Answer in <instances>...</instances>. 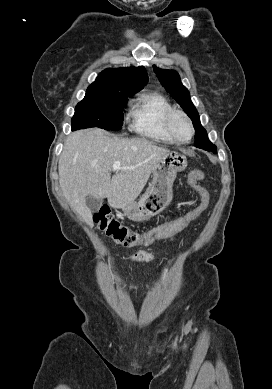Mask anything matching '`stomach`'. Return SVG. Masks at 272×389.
<instances>
[{"label":"stomach","instance_id":"obj_1","mask_svg":"<svg viewBox=\"0 0 272 389\" xmlns=\"http://www.w3.org/2000/svg\"><path fill=\"white\" fill-rule=\"evenodd\" d=\"M187 159L177 152L167 153L153 169V180L138 201L122 208L131 220H147L167 208L173 199V182L177 173L185 170Z\"/></svg>","mask_w":272,"mask_h":389}]
</instances>
